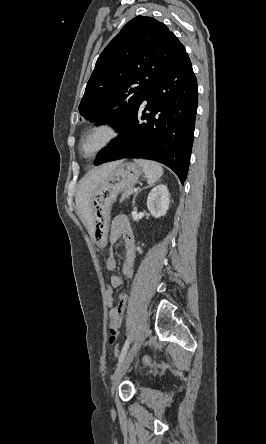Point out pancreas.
I'll use <instances>...</instances> for the list:
<instances>
[{"instance_id":"1","label":"pancreas","mask_w":266,"mask_h":444,"mask_svg":"<svg viewBox=\"0 0 266 444\" xmlns=\"http://www.w3.org/2000/svg\"><path fill=\"white\" fill-rule=\"evenodd\" d=\"M133 193H134L133 188L125 189V190L123 191V193H122V197H121V199H120V202H123L125 199H128L129 196H130L131 194H133Z\"/></svg>"}]
</instances>
